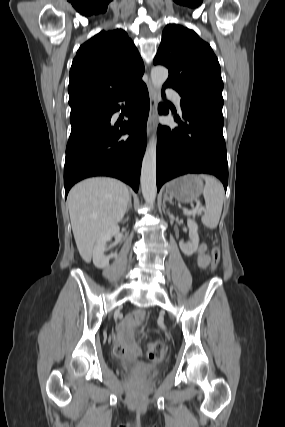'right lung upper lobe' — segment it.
Here are the masks:
<instances>
[{
	"mask_svg": "<svg viewBox=\"0 0 285 427\" xmlns=\"http://www.w3.org/2000/svg\"><path fill=\"white\" fill-rule=\"evenodd\" d=\"M144 64L122 29L101 31L77 51L69 77L71 113L104 105L142 81Z\"/></svg>",
	"mask_w": 285,
	"mask_h": 427,
	"instance_id": "right-lung-upper-lobe-1",
	"label": "right lung upper lobe"
}]
</instances>
